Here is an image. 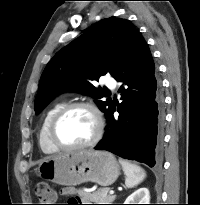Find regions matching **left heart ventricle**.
I'll return each mask as SVG.
<instances>
[{"instance_id": "b2bd125f", "label": "left heart ventricle", "mask_w": 200, "mask_h": 205, "mask_svg": "<svg viewBox=\"0 0 200 205\" xmlns=\"http://www.w3.org/2000/svg\"><path fill=\"white\" fill-rule=\"evenodd\" d=\"M95 133L92 114L82 108L73 109L63 116L56 128L57 140L67 146L89 141Z\"/></svg>"}]
</instances>
